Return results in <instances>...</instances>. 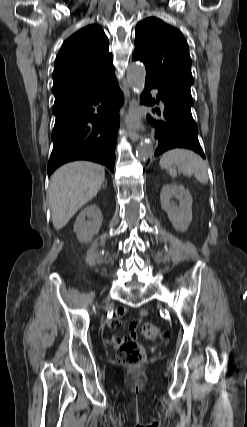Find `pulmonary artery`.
<instances>
[{"label":"pulmonary artery","instance_id":"obj_1","mask_svg":"<svg viewBox=\"0 0 247 427\" xmlns=\"http://www.w3.org/2000/svg\"><path fill=\"white\" fill-rule=\"evenodd\" d=\"M160 105H161V107H163L164 106V104H163V102L160 100Z\"/></svg>","mask_w":247,"mask_h":427}]
</instances>
